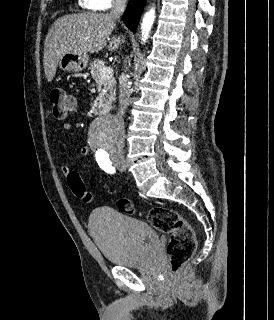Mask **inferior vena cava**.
Segmentation results:
<instances>
[{
	"label": "inferior vena cava",
	"mask_w": 274,
	"mask_h": 320,
	"mask_svg": "<svg viewBox=\"0 0 274 320\" xmlns=\"http://www.w3.org/2000/svg\"><path fill=\"white\" fill-rule=\"evenodd\" d=\"M126 2L127 0H114L110 16H112V18H120L126 8ZM119 94L118 116L119 118H123L129 106L130 98L128 76H126V74H122L119 78Z\"/></svg>",
	"instance_id": "obj_1"
}]
</instances>
